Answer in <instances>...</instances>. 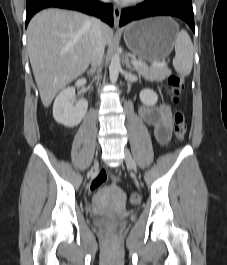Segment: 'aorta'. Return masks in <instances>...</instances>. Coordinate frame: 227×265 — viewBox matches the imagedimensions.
<instances>
[{
  "instance_id": "aorta-1",
  "label": "aorta",
  "mask_w": 227,
  "mask_h": 265,
  "mask_svg": "<svg viewBox=\"0 0 227 265\" xmlns=\"http://www.w3.org/2000/svg\"><path fill=\"white\" fill-rule=\"evenodd\" d=\"M120 69H121L120 57L116 53L112 56L111 63L109 65V75L111 83H115L117 81Z\"/></svg>"
}]
</instances>
